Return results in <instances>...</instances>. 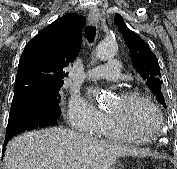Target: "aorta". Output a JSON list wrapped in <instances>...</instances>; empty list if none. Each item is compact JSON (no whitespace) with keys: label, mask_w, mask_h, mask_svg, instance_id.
Instances as JSON below:
<instances>
[{"label":"aorta","mask_w":177,"mask_h":169,"mask_svg":"<svg viewBox=\"0 0 177 169\" xmlns=\"http://www.w3.org/2000/svg\"><path fill=\"white\" fill-rule=\"evenodd\" d=\"M117 53V44L114 40H104L100 42L96 48V57L101 61L113 58ZM99 93H96L98 96ZM100 101L108 102V97L100 95Z\"/></svg>","instance_id":"1"}]
</instances>
